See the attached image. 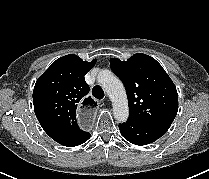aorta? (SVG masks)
<instances>
[{
	"label": "aorta",
	"instance_id": "obj_1",
	"mask_svg": "<svg viewBox=\"0 0 209 179\" xmlns=\"http://www.w3.org/2000/svg\"><path fill=\"white\" fill-rule=\"evenodd\" d=\"M98 82L112 101L115 119L125 122L129 116V108L126 91L120 79L111 71L103 70L98 74Z\"/></svg>",
	"mask_w": 209,
	"mask_h": 179
}]
</instances>
